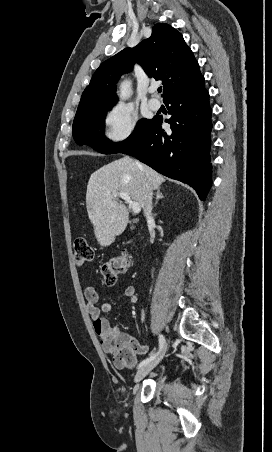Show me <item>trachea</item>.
Instances as JSON below:
<instances>
[{
	"instance_id": "obj_1",
	"label": "trachea",
	"mask_w": 272,
	"mask_h": 452,
	"mask_svg": "<svg viewBox=\"0 0 272 452\" xmlns=\"http://www.w3.org/2000/svg\"><path fill=\"white\" fill-rule=\"evenodd\" d=\"M158 92H159V93L162 92V87H159V88H158Z\"/></svg>"
}]
</instances>
